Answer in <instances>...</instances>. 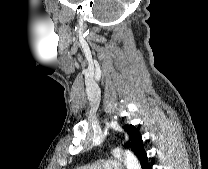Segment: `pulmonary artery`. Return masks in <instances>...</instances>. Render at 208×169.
Returning <instances> with one entry per match:
<instances>
[{
  "label": "pulmonary artery",
  "mask_w": 208,
  "mask_h": 169,
  "mask_svg": "<svg viewBox=\"0 0 208 169\" xmlns=\"http://www.w3.org/2000/svg\"><path fill=\"white\" fill-rule=\"evenodd\" d=\"M128 168L119 159H100L95 163L86 164L77 169H124Z\"/></svg>",
  "instance_id": "1"
}]
</instances>
